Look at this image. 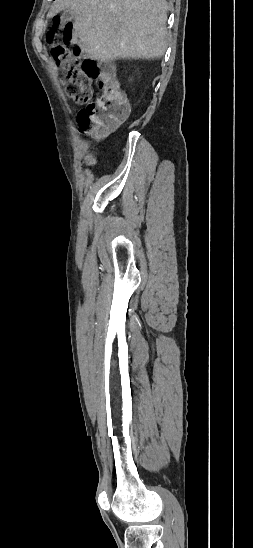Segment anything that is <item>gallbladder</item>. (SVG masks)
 <instances>
[{"mask_svg": "<svg viewBox=\"0 0 253 548\" xmlns=\"http://www.w3.org/2000/svg\"><path fill=\"white\" fill-rule=\"evenodd\" d=\"M74 17L72 15V12L70 10H65L63 15H62V20L63 21H69V20H72Z\"/></svg>", "mask_w": 253, "mask_h": 548, "instance_id": "obj_1", "label": "gallbladder"}]
</instances>
